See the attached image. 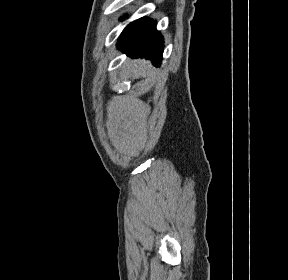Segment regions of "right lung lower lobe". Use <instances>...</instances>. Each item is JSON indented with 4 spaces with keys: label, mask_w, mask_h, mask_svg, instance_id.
<instances>
[{
    "label": "right lung lower lobe",
    "mask_w": 288,
    "mask_h": 280,
    "mask_svg": "<svg viewBox=\"0 0 288 280\" xmlns=\"http://www.w3.org/2000/svg\"><path fill=\"white\" fill-rule=\"evenodd\" d=\"M118 49L133 58H146L159 66L163 54V37L152 19L140 18L130 23L121 33Z\"/></svg>",
    "instance_id": "98d812e1"
}]
</instances>
